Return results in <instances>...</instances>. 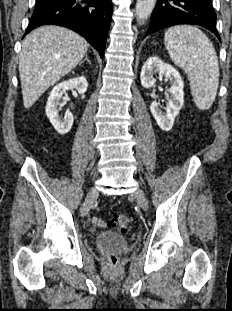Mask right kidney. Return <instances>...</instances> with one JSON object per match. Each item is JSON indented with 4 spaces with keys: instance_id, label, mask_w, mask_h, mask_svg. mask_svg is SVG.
<instances>
[{
    "instance_id": "1",
    "label": "right kidney",
    "mask_w": 232,
    "mask_h": 311,
    "mask_svg": "<svg viewBox=\"0 0 232 311\" xmlns=\"http://www.w3.org/2000/svg\"><path fill=\"white\" fill-rule=\"evenodd\" d=\"M87 87L86 78L81 76L59 83L52 89L46 104V115L59 134L64 135L68 133L74 121L73 114L69 110H67L64 117L59 115V109L62 107L60 100L63 94L69 89L77 90L79 94H84Z\"/></svg>"
}]
</instances>
